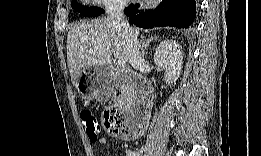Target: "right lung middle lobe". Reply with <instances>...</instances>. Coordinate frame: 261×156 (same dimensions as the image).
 Instances as JSON below:
<instances>
[{"instance_id":"1","label":"right lung middle lobe","mask_w":261,"mask_h":156,"mask_svg":"<svg viewBox=\"0 0 261 156\" xmlns=\"http://www.w3.org/2000/svg\"><path fill=\"white\" fill-rule=\"evenodd\" d=\"M76 11L82 12V16L86 17H96L104 13V10L97 7L87 8V6L73 4Z\"/></svg>"}]
</instances>
